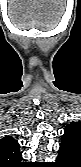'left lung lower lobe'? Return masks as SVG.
<instances>
[{
  "mask_svg": "<svg viewBox=\"0 0 81 167\" xmlns=\"http://www.w3.org/2000/svg\"><path fill=\"white\" fill-rule=\"evenodd\" d=\"M55 167H80V165L71 159L64 149H59Z\"/></svg>",
  "mask_w": 81,
  "mask_h": 167,
  "instance_id": "1",
  "label": "left lung lower lobe"
}]
</instances>
